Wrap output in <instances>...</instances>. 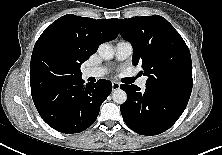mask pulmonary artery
Masks as SVG:
<instances>
[{
	"label": "pulmonary artery",
	"mask_w": 222,
	"mask_h": 155,
	"mask_svg": "<svg viewBox=\"0 0 222 155\" xmlns=\"http://www.w3.org/2000/svg\"><path fill=\"white\" fill-rule=\"evenodd\" d=\"M133 53V46L130 42L121 40L115 46V56L118 61H124L128 59ZM108 72L106 67H89L83 72L85 77L100 78ZM146 77H142L137 81V85L141 88L146 86Z\"/></svg>",
	"instance_id": "obj_1"
}]
</instances>
